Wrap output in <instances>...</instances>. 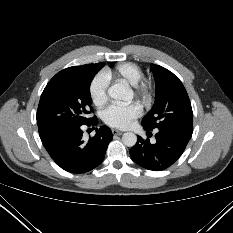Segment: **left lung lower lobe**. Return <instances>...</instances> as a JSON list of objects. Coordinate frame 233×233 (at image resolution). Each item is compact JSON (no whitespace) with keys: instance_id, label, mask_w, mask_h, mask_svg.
<instances>
[{"instance_id":"0a47b994","label":"left lung lower lobe","mask_w":233,"mask_h":233,"mask_svg":"<svg viewBox=\"0 0 233 233\" xmlns=\"http://www.w3.org/2000/svg\"><path fill=\"white\" fill-rule=\"evenodd\" d=\"M191 136V133L177 130H159L155 135V144L138 137L137 143L130 149L131 159L148 170L162 171L182 155Z\"/></svg>"}]
</instances>
